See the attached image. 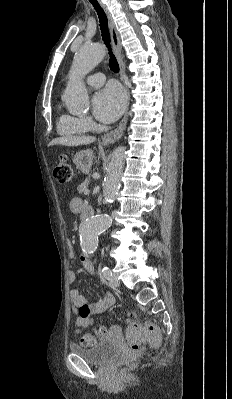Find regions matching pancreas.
Returning <instances> with one entry per match:
<instances>
[{
    "label": "pancreas",
    "mask_w": 232,
    "mask_h": 399,
    "mask_svg": "<svg viewBox=\"0 0 232 399\" xmlns=\"http://www.w3.org/2000/svg\"><path fill=\"white\" fill-rule=\"evenodd\" d=\"M88 184H89V180H85V182H83V184H80V186H77V190H78L79 194H83V192H85V190H87Z\"/></svg>",
    "instance_id": "obj_1"
}]
</instances>
